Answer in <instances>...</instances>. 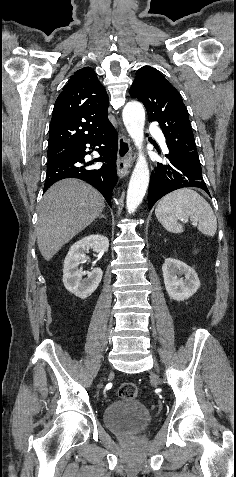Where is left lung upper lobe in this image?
Masks as SVG:
<instances>
[{
  "instance_id": "1",
  "label": "left lung upper lobe",
  "mask_w": 236,
  "mask_h": 477,
  "mask_svg": "<svg viewBox=\"0 0 236 477\" xmlns=\"http://www.w3.org/2000/svg\"><path fill=\"white\" fill-rule=\"evenodd\" d=\"M130 95L144 104L149 122L159 123L169 152L200 164L188 112L181 95L158 70L150 66L140 68L130 88Z\"/></svg>"
}]
</instances>
